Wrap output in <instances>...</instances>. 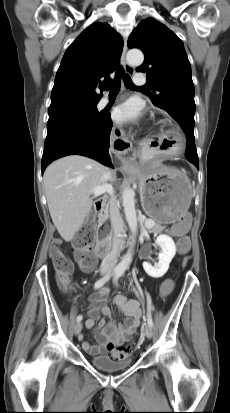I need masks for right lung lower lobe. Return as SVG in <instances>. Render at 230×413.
I'll list each match as a JSON object with an SVG mask.
<instances>
[{"mask_svg": "<svg viewBox=\"0 0 230 413\" xmlns=\"http://www.w3.org/2000/svg\"><path fill=\"white\" fill-rule=\"evenodd\" d=\"M112 121L109 114L97 120L62 121L47 127L42 156V174L54 160L67 155H82L113 167L109 155Z\"/></svg>", "mask_w": 230, "mask_h": 413, "instance_id": "98d812e1", "label": "right lung lower lobe"}]
</instances>
